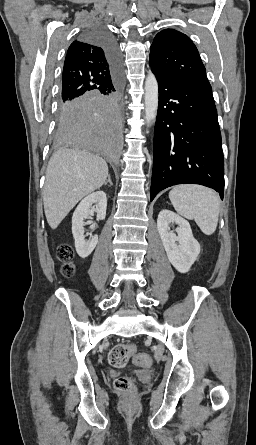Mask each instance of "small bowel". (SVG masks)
<instances>
[{
	"label": "small bowel",
	"mask_w": 256,
	"mask_h": 445,
	"mask_svg": "<svg viewBox=\"0 0 256 445\" xmlns=\"http://www.w3.org/2000/svg\"><path fill=\"white\" fill-rule=\"evenodd\" d=\"M139 356H146L148 358L147 361H145V362L140 364L143 368H148L149 367V363H150L149 357L146 354H139Z\"/></svg>",
	"instance_id": "1"
}]
</instances>
